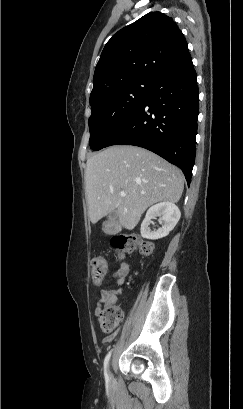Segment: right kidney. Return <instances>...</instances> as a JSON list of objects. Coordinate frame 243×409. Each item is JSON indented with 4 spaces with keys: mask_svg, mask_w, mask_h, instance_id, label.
<instances>
[{
    "mask_svg": "<svg viewBox=\"0 0 243 409\" xmlns=\"http://www.w3.org/2000/svg\"><path fill=\"white\" fill-rule=\"evenodd\" d=\"M181 216L179 208L171 202H161L150 207L145 219L141 224V235L143 238L156 240L166 237L178 223ZM160 217L162 227L151 231L149 228L152 219Z\"/></svg>",
    "mask_w": 243,
    "mask_h": 409,
    "instance_id": "1",
    "label": "right kidney"
}]
</instances>
